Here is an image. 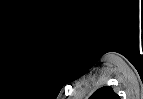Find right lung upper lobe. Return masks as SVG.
Segmentation results:
<instances>
[{
	"label": "right lung upper lobe",
	"mask_w": 143,
	"mask_h": 99,
	"mask_svg": "<svg viewBox=\"0 0 143 99\" xmlns=\"http://www.w3.org/2000/svg\"><path fill=\"white\" fill-rule=\"evenodd\" d=\"M90 99H120L119 96L113 91L112 87L104 86L96 90Z\"/></svg>",
	"instance_id": "1"
}]
</instances>
